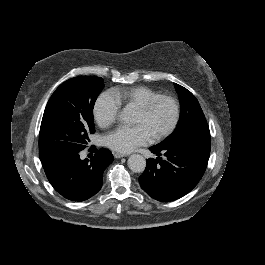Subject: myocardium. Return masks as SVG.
<instances>
[{
	"label": "myocardium",
	"mask_w": 265,
	"mask_h": 265,
	"mask_svg": "<svg viewBox=\"0 0 265 265\" xmlns=\"http://www.w3.org/2000/svg\"><path fill=\"white\" fill-rule=\"evenodd\" d=\"M159 101H167L169 102L172 107H173V118L170 122V124L163 129L159 134L155 135L151 142L152 143H156L161 141L162 139H164L165 137L169 136L174 129L176 128L178 122H179V118H180V104L179 102L173 98L172 96L169 95H163V94H159L157 96H154L150 99H148L136 112H138L139 114H148L152 108L154 107V105L156 103H158Z\"/></svg>",
	"instance_id": "myocardium-1"
}]
</instances>
